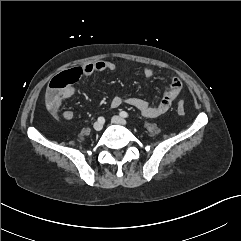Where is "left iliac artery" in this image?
<instances>
[{
    "mask_svg": "<svg viewBox=\"0 0 241 241\" xmlns=\"http://www.w3.org/2000/svg\"><path fill=\"white\" fill-rule=\"evenodd\" d=\"M120 116L127 118L129 116V114L126 111H121Z\"/></svg>",
    "mask_w": 241,
    "mask_h": 241,
    "instance_id": "left-iliac-artery-1",
    "label": "left iliac artery"
}]
</instances>
